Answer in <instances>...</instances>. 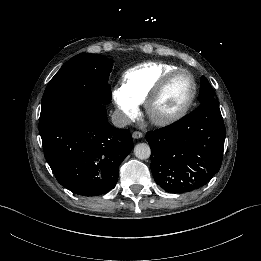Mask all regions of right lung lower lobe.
Returning <instances> with one entry per match:
<instances>
[{"label":"right lung lower lobe","mask_w":261,"mask_h":261,"mask_svg":"<svg viewBox=\"0 0 261 261\" xmlns=\"http://www.w3.org/2000/svg\"><path fill=\"white\" fill-rule=\"evenodd\" d=\"M39 132L57 181L81 196L103 195L114 188L119 165L133 148L130 131L109 124L100 103L44 112Z\"/></svg>","instance_id":"1"}]
</instances>
